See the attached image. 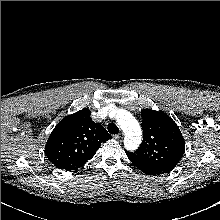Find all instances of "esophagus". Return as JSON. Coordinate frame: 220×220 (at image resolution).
Segmentation results:
<instances>
[{"mask_svg":"<svg viewBox=\"0 0 220 220\" xmlns=\"http://www.w3.org/2000/svg\"><path fill=\"white\" fill-rule=\"evenodd\" d=\"M123 138H124V134L123 133L115 135V139H117V140L121 141Z\"/></svg>","mask_w":220,"mask_h":220,"instance_id":"esophagus-1","label":"esophagus"}]
</instances>
